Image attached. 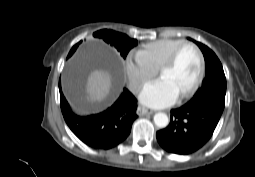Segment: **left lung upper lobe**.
I'll list each match as a JSON object with an SVG mask.
<instances>
[{
  "mask_svg": "<svg viewBox=\"0 0 255 177\" xmlns=\"http://www.w3.org/2000/svg\"><path fill=\"white\" fill-rule=\"evenodd\" d=\"M195 43L199 46L204 55L206 76L202 82V86L186 105L198 106L204 103H215L217 106L224 108L226 78L222 64L210 48L202 43L196 41Z\"/></svg>",
  "mask_w": 255,
  "mask_h": 177,
  "instance_id": "1",
  "label": "left lung upper lobe"
}]
</instances>
